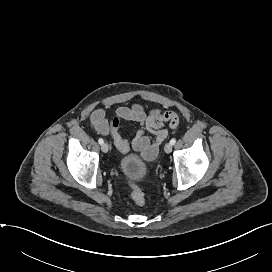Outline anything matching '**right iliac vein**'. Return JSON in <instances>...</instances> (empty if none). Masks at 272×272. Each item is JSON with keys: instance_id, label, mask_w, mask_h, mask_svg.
Returning <instances> with one entry per match:
<instances>
[{"instance_id": "63e3f726", "label": "right iliac vein", "mask_w": 272, "mask_h": 272, "mask_svg": "<svg viewBox=\"0 0 272 272\" xmlns=\"http://www.w3.org/2000/svg\"><path fill=\"white\" fill-rule=\"evenodd\" d=\"M101 150H102L104 153H107L108 150H109L108 144H107V143H103V144L101 145Z\"/></svg>"}]
</instances>
